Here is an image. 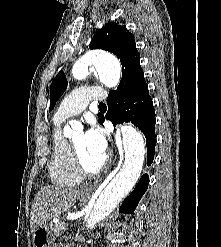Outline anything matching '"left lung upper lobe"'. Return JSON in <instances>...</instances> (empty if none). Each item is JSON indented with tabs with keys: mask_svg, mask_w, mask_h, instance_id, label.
<instances>
[{
	"mask_svg": "<svg viewBox=\"0 0 221 247\" xmlns=\"http://www.w3.org/2000/svg\"><path fill=\"white\" fill-rule=\"evenodd\" d=\"M90 49L109 51L120 58L122 64V78L113 94L128 96L148 89L140 66V53L136 49L134 36L125 26L110 23L100 29L90 42ZM67 88V79L60 71L50 86L51 111L57 100Z\"/></svg>",
	"mask_w": 221,
	"mask_h": 247,
	"instance_id": "5c2ea615",
	"label": "left lung upper lobe"
}]
</instances>
